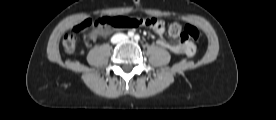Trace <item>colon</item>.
<instances>
[{
    "label": "colon",
    "mask_w": 276,
    "mask_h": 120,
    "mask_svg": "<svg viewBox=\"0 0 276 120\" xmlns=\"http://www.w3.org/2000/svg\"><path fill=\"white\" fill-rule=\"evenodd\" d=\"M92 25H102L110 28L138 27L141 25L152 28H159L164 25L161 19L152 18H129L125 16L103 17L97 21L89 19L83 20L76 24L72 31L63 37V47L68 53H73L76 48L77 34L86 30ZM172 36L179 37L182 41H197L200 37L199 30L193 25L181 26L178 23H172L169 27Z\"/></svg>",
    "instance_id": "1"
}]
</instances>
